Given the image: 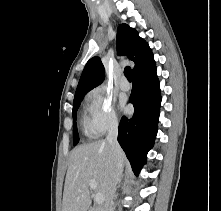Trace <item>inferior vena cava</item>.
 Segmentation results:
<instances>
[{
    "mask_svg": "<svg viewBox=\"0 0 221 211\" xmlns=\"http://www.w3.org/2000/svg\"><path fill=\"white\" fill-rule=\"evenodd\" d=\"M117 137H118V122H113L109 127L106 140L111 145L113 159H114V170L111 181L109 183L108 194L103 207V211H114L113 199L115 197L116 186L118 182H120L123 172V164H122L123 151L119 146Z\"/></svg>",
    "mask_w": 221,
    "mask_h": 211,
    "instance_id": "inferior-vena-cava-1",
    "label": "inferior vena cava"
}]
</instances>
